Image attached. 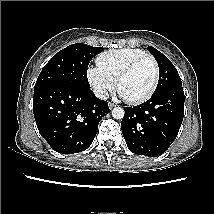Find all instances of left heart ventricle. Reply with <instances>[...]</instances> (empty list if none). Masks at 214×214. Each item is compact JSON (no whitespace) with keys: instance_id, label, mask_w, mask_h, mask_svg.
I'll list each match as a JSON object with an SVG mask.
<instances>
[{"instance_id":"1","label":"left heart ventricle","mask_w":214,"mask_h":214,"mask_svg":"<svg viewBox=\"0 0 214 214\" xmlns=\"http://www.w3.org/2000/svg\"><path fill=\"white\" fill-rule=\"evenodd\" d=\"M154 79L153 66L149 61L140 63L120 84V91L126 99H135L144 95Z\"/></svg>"}]
</instances>
